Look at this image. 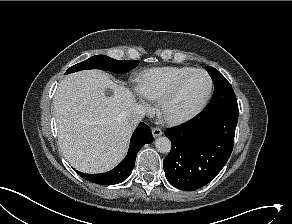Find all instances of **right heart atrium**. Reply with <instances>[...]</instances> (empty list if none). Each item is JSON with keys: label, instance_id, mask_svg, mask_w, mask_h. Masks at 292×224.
Segmentation results:
<instances>
[{"label": "right heart atrium", "instance_id": "right-heart-atrium-1", "mask_svg": "<svg viewBox=\"0 0 292 224\" xmlns=\"http://www.w3.org/2000/svg\"><path fill=\"white\" fill-rule=\"evenodd\" d=\"M138 99L142 101V99L140 97H138Z\"/></svg>", "mask_w": 292, "mask_h": 224}]
</instances>
